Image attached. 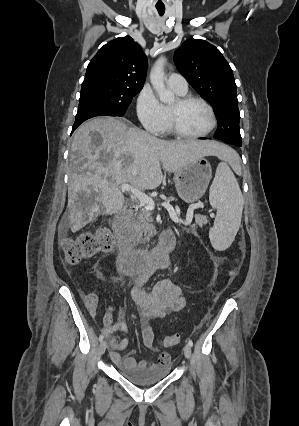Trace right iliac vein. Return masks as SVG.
Returning a JSON list of instances; mask_svg holds the SVG:
<instances>
[{"label":"right iliac vein","instance_id":"1","mask_svg":"<svg viewBox=\"0 0 299 426\" xmlns=\"http://www.w3.org/2000/svg\"><path fill=\"white\" fill-rule=\"evenodd\" d=\"M106 347H107L106 341H101V343L99 345L100 354H104Z\"/></svg>","mask_w":299,"mask_h":426}]
</instances>
